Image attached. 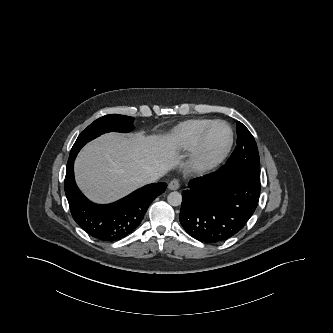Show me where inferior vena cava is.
Here are the masks:
<instances>
[{
  "mask_svg": "<svg viewBox=\"0 0 333 333\" xmlns=\"http://www.w3.org/2000/svg\"><path fill=\"white\" fill-rule=\"evenodd\" d=\"M162 176L161 172H151L146 174L143 178L142 181L144 183H152L155 182L158 178Z\"/></svg>",
  "mask_w": 333,
  "mask_h": 333,
  "instance_id": "inferior-vena-cava-1",
  "label": "inferior vena cava"
}]
</instances>
